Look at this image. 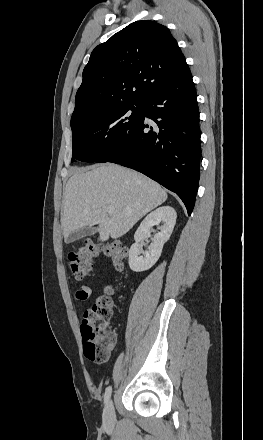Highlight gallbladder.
Masks as SVG:
<instances>
[{
    "label": "gallbladder",
    "instance_id": "1",
    "mask_svg": "<svg viewBox=\"0 0 263 440\" xmlns=\"http://www.w3.org/2000/svg\"><path fill=\"white\" fill-rule=\"evenodd\" d=\"M97 231H98V229L93 226L80 228L77 231L71 233L67 238H65V242L67 244H70V243H72L80 238H83L85 236L94 235Z\"/></svg>",
    "mask_w": 263,
    "mask_h": 440
}]
</instances>
